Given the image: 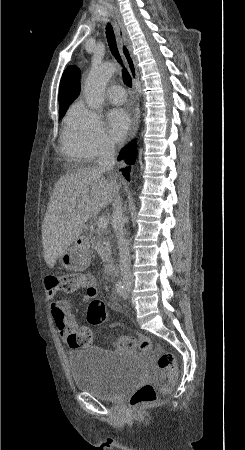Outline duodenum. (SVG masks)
<instances>
[{"mask_svg": "<svg viewBox=\"0 0 245 450\" xmlns=\"http://www.w3.org/2000/svg\"><path fill=\"white\" fill-rule=\"evenodd\" d=\"M78 243H79V246H80L82 249H84V250L88 249V248L91 246L90 241H89L87 238H85V237H80V238L78 239ZM118 267H119L118 262H116V261H111V262L107 265V272H108L110 275H114V274L117 272Z\"/></svg>", "mask_w": 245, "mask_h": 450, "instance_id": "1", "label": "duodenum"}]
</instances>
